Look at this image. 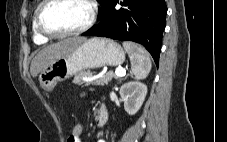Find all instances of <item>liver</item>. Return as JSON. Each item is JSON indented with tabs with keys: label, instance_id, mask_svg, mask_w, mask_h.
<instances>
[{
	"label": "liver",
	"instance_id": "1",
	"mask_svg": "<svg viewBox=\"0 0 227 142\" xmlns=\"http://www.w3.org/2000/svg\"><path fill=\"white\" fill-rule=\"evenodd\" d=\"M85 41L86 38L74 36L43 48L31 62L30 73L32 77H36L55 60L71 53L76 47Z\"/></svg>",
	"mask_w": 227,
	"mask_h": 142
}]
</instances>
